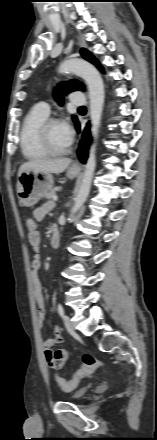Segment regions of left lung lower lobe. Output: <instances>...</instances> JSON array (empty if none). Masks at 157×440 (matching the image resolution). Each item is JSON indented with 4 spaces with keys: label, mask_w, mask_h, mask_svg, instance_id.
Wrapping results in <instances>:
<instances>
[{
    "label": "left lung lower lobe",
    "mask_w": 157,
    "mask_h": 440,
    "mask_svg": "<svg viewBox=\"0 0 157 440\" xmlns=\"http://www.w3.org/2000/svg\"><path fill=\"white\" fill-rule=\"evenodd\" d=\"M90 124L88 123L87 126L84 128L83 131H81V139L78 144L77 154L78 158L82 163H85L88 157V149L91 143V135H90ZM76 130L78 133H80V125L79 123L76 125Z\"/></svg>",
    "instance_id": "0a47b994"
}]
</instances>
